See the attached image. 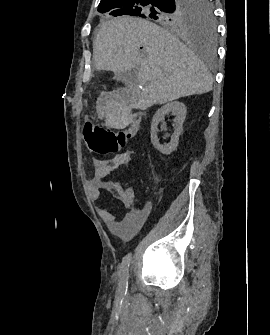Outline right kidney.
Returning <instances> with one entry per match:
<instances>
[{
	"mask_svg": "<svg viewBox=\"0 0 270 335\" xmlns=\"http://www.w3.org/2000/svg\"><path fill=\"white\" fill-rule=\"evenodd\" d=\"M172 112L173 116H176L174 124V134L171 138V142L169 144H165V146H160L159 140L157 138L158 132V124L159 122H163L165 120L166 114H170ZM186 106L182 104V102H168L165 106H162L160 110H157L155 116H153L152 124H151V142L154 148H157L161 154H171L174 152L178 146L179 136H181V132H183V124L186 118ZM165 126V122L163 124Z\"/></svg>",
	"mask_w": 270,
	"mask_h": 335,
	"instance_id": "1",
	"label": "right kidney"
}]
</instances>
